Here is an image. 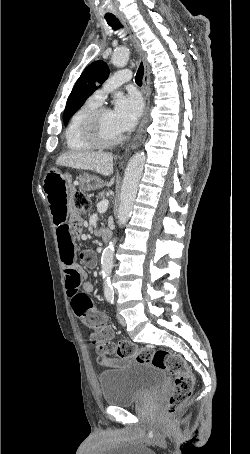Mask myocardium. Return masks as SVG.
<instances>
[{
    "label": "myocardium",
    "instance_id": "obj_1",
    "mask_svg": "<svg viewBox=\"0 0 250 454\" xmlns=\"http://www.w3.org/2000/svg\"><path fill=\"white\" fill-rule=\"evenodd\" d=\"M108 111L106 107H98L93 110L84 120L83 135L85 139L94 147L109 148L118 145L124 137L122 135L116 138H106L101 130V117L104 112Z\"/></svg>",
    "mask_w": 250,
    "mask_h": 454
}]
</instances>
